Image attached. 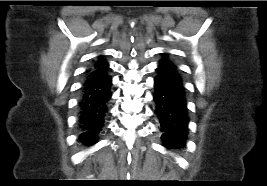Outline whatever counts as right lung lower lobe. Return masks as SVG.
Wrapping results in <instances>:
<instances>
[{
  "instance_id": "right-lung-lower-lobe-1",
  "label": "right lung lower lobe",
  "mask_w": 267,
  "mask_h": 186,
  "mask_svg": "<svg viewBox=\"0 0 267 186\" xmlns=\"http://www.w3.org/2000/svg\"><path fill=\"white\" fill-rule=\"evenodd\" d=\"M107 61L94 63L85 72L78 100V125L83 143L92 144L104 126L112 93Z\"/></svg>"
}]
</instances>
